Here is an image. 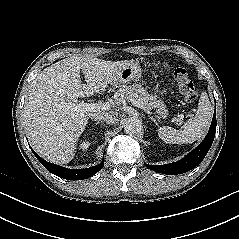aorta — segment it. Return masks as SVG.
I'll return each instance as SVG.
<instances>
[{
  "instance_id": "obj_1",
  "label": "aorta",
  "mask_w": 239,
  "mask_h": 239,
  "mask_svg": "<svg viewBox=\"0 0 239 239\" xmlns=\"http://www.w3.org/2000/svg\"><path fill=\"white\" fill-rule=\"evenodd\" d=\"M124 130L130 135L139 134L142 131V123L139 119L130 118L125 122Z\"/></svg>"
}]
</instances>
